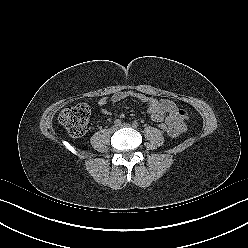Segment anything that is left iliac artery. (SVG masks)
I'll return each instance as SVG.
<instances>
[{
	"instance_id": "obj_1",
	"label": "left iliac artery",
	"mask_w": 248,
	"mask_h": 248,
	"mask_svg": "<svg viewBox=\"0 0 248 248\" xmlns=\"http://www.w3.org/2000/svg\"><path fill=\"white\" fill-rule=\"evenodd\" d=\"M133 127L137 128L138 127V123L136 121L133 122Z\"/></svg>"
}]
</instances>
